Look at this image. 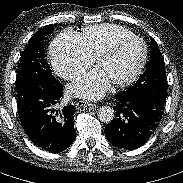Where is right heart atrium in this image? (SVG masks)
Here are the masks:
<instances>
[{
    "label": "right heart atrium",
    "instance_id": "d8ad5b80",
    "mask_svg": "<svg viewBox=\"0 0 183 183\" xmlns=\"http://www.w3.org/2000/svg\"><path fill=\"white\" fill-rule=\"evenodd\" d=\"M50 55L56 73L71 81L78 79L93 63L80 36L71 31H64L53 40Z\"/></svg>",
    "mask_w": 183,
    "mask_h": 183
}]
</instances>
